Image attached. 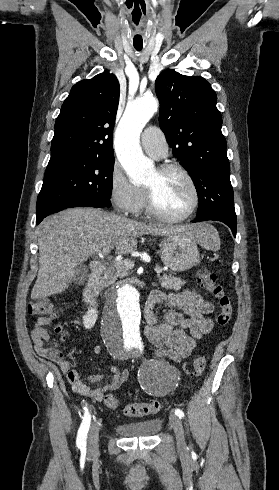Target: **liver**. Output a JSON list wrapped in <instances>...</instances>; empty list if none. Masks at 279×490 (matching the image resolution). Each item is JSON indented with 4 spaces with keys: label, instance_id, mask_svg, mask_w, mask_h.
<instances>
[{
    "label": "liver",
    "instance_id": "obj_1",
    "mask_svg": "<svg viewBox=\"0 0 279 490\" xmlns=\"http://www.w3.org/2000/svg\"><path fill=\"white\" fill-rule=\"evenodd\" d=\"M205 226L141 224L94 208H70L48 216L37 230L39 270L31 300L65 292L77 266L93 254H107L110 248H116L115 254H132L137 248L135 238L143 234H185L198 240Z\"/></svg>",
    "mask_w": 279,
    "mask_h": 490
}]
</instances>
